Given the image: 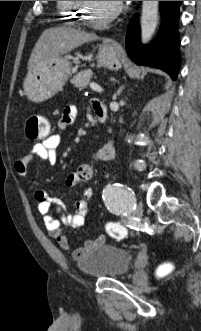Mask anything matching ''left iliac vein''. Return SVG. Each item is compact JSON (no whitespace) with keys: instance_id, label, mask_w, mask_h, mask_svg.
I'll use <instances>...</instances> for the list:
<instances>
[{"instance_id":"1","label":"left iliac vein","mask_w":201,"mask_h":331,"mask_svg":"<svg viewBox=\"0 0 201 331\" xmlns=\"http://www.w3.org/2000/svg\"><path fill=\"white\" fill-rule=\"evenodd\" d=\"M143 215V208L141 204H137L134 212H133V216L136 219H141Z\"/></svg>"}]
</instances>
